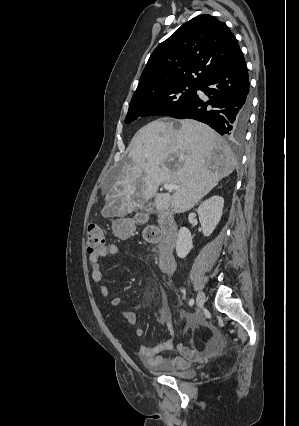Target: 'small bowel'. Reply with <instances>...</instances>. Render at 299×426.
Listing matches in <instances>:
<instances>
[{
    "mask_svg": "<svg viewBox=\"0 0 299 426\" xmlns=\"http://www.w3.org/2000/svg\"><path fill=\"white\" fill-rule=\"evenodd\" d=\"M118 252V246L115 243H106L105 245L97 248L93 253L89 254V263L91 267V277L95 283L100 284V293L103 297L109 296V287L103 282V270L100 264V259L108 255H114ZM123 301L121 296L112 298L111 305L114 307L119 306ZM181 317L185 318L187 324H191V319L182 312ZM125 320L135 325L137 322L136 314L130 311L122 312ZM164 323L170 334V338L155 346H140L138 356L142 362L150 368H173V369H187L191 362L198 361L204 358L213 348L212 342H207L203 349L199 350L194 345L187 347L183 344H177L174 340V326L170 320L165 319ZM137 337L144 335V329L137 327L135 330ZM175 349L178 352L174 357H163L160 353L166 350Z\"/></svg>",
    "mask_w": 299,
    "mask_h": 426,
    "instance_id": "obj_1",
    "label": "small bowel"
}]
</instances>
